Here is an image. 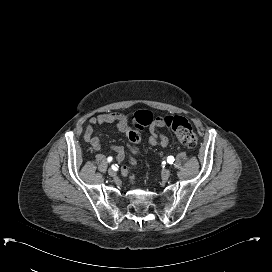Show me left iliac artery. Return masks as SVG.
<instances>
[{
  "mask_svg": "<svg viewBox=\"0 0 272 272\" xmlns=\"http://www.w3.org/2000/svg\"><path fill=\"white\" fill-rule=\"evenodd\" d=\"M167 162H168L169 164H172V163L174 162V157H173V156H169V157L167 158Z\"/></svg>",
  "mask_w": 272,
  "mask_h": 272,
  "instance_id": "left-iliac-artery-1",
  "label": "left iliac artery"
}]
</instances>
